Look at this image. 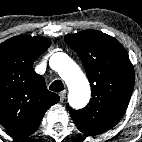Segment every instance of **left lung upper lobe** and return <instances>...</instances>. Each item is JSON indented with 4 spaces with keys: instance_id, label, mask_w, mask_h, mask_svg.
Masks as SVG:
<instances>
[{
    "instance_id": "5c2ea615",
    "label": "left lung upper lobe",
    "mask_w": 142,
    "mask_h": 142,
    "mask_svg": "<svg viewBox=\"0 0 142 142\" xmlns=\"http://www.w3.org/2000/svg\"><path fill=\"white\" fill-rule=\"evenodd\" d=\"M79 55L91 85V100L81 110L67 105L77 128L90 136L114 127L124 115L134 88L135 73L124 47L96 30L66 35Z\"/></svg>"
}]
</instances>
